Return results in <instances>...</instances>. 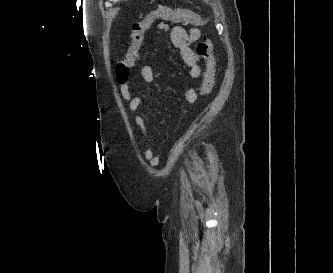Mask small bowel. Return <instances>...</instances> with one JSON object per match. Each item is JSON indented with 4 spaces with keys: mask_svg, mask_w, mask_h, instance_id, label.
Instances as JSON below:
<instances>
[{
    "mask_svg": "<svg viewBox=\"0 0 333 273\" xmlns=\"http://www.w3.org/2000/svg\"><path fill=\"white\" fill-rule=\"evenodd\" d=\"M158 32L168 31L170 33L172 43L180 50L184 62L189 68L190 76L197 79L201 75L200 58L194 50V45L199 40L201 32L198 28L193 27L186 30L182 26H171L168 23H160L157 28ZM139 52V51H138ZM138 52L136 56L138 57ZM129 53V49L127 54ZM126 54V55H127ZM135 62H133V66ZM140 74L145 82H151L154 79L153 70L149 65L143 64L140 66ZM120 92L123 99L128 103V109L132 115L133 121L141 134L146 138L148 130L145 120L138 113L140 98L135 96L130 91V83H120ZM198 99V91L195 88H190L185 93V102L188 106L193 105ZM145 159L153 166L157 165L159 158L155 156L153 149L148 148L144 152Z\"/></svg>",
    "mask_w": 333,
    "mask_h": 273,
    "instance_id": "1",
    "label": "small bowel"
}]
</instances>
